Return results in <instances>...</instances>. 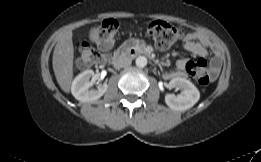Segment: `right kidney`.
I'll return each mask as SVG.
<instances>
[{"label": "right kidney", "mask_w": 261, "mask_h": 162, "mask_svg": "<svg viewBox=\"0 0 261 162\" xmlns=\"http://www.w3.org/2000/svg\"><path fill=\"white\" fill-rule=\"evenodd\" d=\"M95 81V73L93 70H86L79 74L72 82L71 92L73 96L80 102H93L99 99L108 89L106 82L97 89H91Z\"/></svg>", "instance_id": "ca27d5eb"}]
</instances>
